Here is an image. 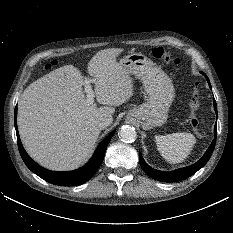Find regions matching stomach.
<instances>
[{"label":"stomach","instance_id":"1","mask_svg":"<svg viewBox=\"0 0 233 233\" xmlns=\"http://www.w3.org/2000/svg\"><path fill=\"white\" fill-rule=\"evenodd\" d=\"M129 74L139 78L147 101L129 110L127 119L140 123L144 130L162 126L168 118L175 89L168 75L141 53H131L119 61Z\"/></svg>","mask_w":233,"mask_h":233}]
</instances>
